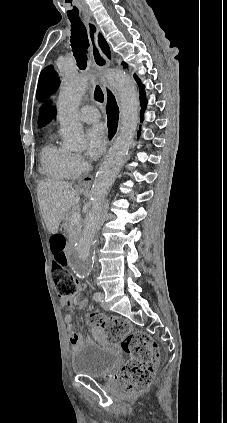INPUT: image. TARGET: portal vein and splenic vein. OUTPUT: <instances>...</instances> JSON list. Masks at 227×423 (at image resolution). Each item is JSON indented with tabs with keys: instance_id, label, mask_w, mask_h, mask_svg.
<instances>
[{
	"instance_id": "18ae733b",
	"label": "portal vein and splenic vein",
	"mask_w": 227,
	"mask_h": 423,
	"mask_svg": "<svg viewBox=\"0 0 227 423\" xmlns=\"http://www.w3.org/2000/svg\"><path fill=\"white\" fill-rule=\"evenodd\" d=\"M71 219H72V221H74V223H79V221L81 219V213H79V211H75V213H73V215H71Z\"/></svg>"
}]
</instances>
